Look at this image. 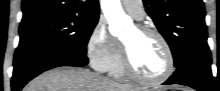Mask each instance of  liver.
<instances>
[{"label":"liver","mask_w":220,"mask_h":91,"mask_svg":"<svg viewBox=\"0 0 220 91\" xmlns=\"http://www.w3.org/2000/svg\"><path fill=\"white\" fill-rule=\"evenodd\" d=\"M23 91H137L134 87L80 68L63 66L42 73Z\"/></svg>","instance_id":"1"}]
</instances>
